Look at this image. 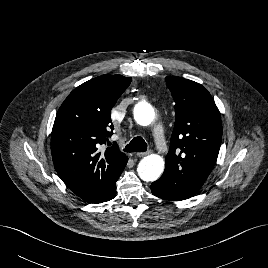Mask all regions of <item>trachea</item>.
Listing matches in <instances>:
<instances>
[{
  "mask_svg": "<svg viewBox=\"0 0 268 268\" xmlns=\"http://www.w3.org/2000/svg\"><path fill=\"white\" fill-rule=\"evenodd\" d=\"M147 144L140 136L134 137L131 142L125 147V152H145Z\"/></svg>",
  "mask_w": 268,
  "mask_h": 268,
  "instance_id": "3493384b",
  "label": "trachea"
}]
</instances>
